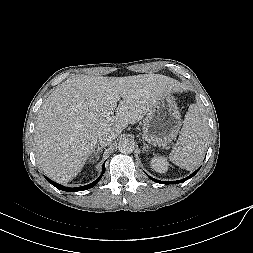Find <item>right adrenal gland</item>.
<instances>
[{"label": "right adrenal gland", "mask_w": 253, "mask_h": 253, "mask_svg": "<svg viewBox=\"0 0 253 253\" xmlns=\"http://www.w3.org/2000/svg\"><path fill=\"white\" fill-rule=\"evenodd\" d=\"M102 149H103V146H98L96 149H94L93 151H92V154H91V158H96V160H98L99 159V153L102 151ZM91 162H94V159L91 161Z\"/></svg>", "instance_id": "1"}]
</instances>
